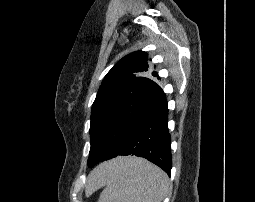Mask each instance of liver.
Masks as SVG:
<instances>
[{
	"label": "liver",
	"mask_w": 255,
	"mask_h": 202,
	"mask_svg": "<svg viewBox=\"0 0 255 202\" xmlns=\"http://www.w3.org/2000/svg\"><path fill=\"white\" fill-rule=\"evenodd\" d=\"M115 160H113V161H110L109 163H112V162H114ZM109 163H104V164H102V165H100L97 169H95L92 173H91V175H90V177H89V179H88V182H89V186L90 187H92V188H94V182H95V177H96V174L99 172V170L101 169V168H103V167H105L107 164H109Z\"/></svg>",
	"instance_id": "liver-1"
}]
</instances>
